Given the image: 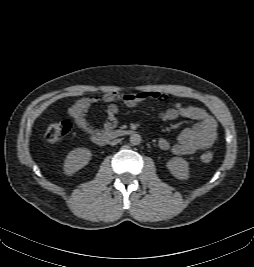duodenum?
<instances>
[{
    "label": "duodenum",
    "mask_w": 254,
    "mask_h": 267,
    "mask_svg": "<svg viewBox=\"0 0 254 267\" xmlns=\"http://www.w3.org/2000/svg\"><path fill=\"white\" fill-rule=\"evenodd\" d=\"M132 133L133 131L130 129L107 130L94 134L92 140L95 144L103 146L112 139L131 135Z\"/></svg>",
    "instance_id": "1"
}]
</instances>
